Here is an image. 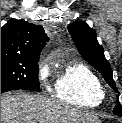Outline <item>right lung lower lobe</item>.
Here are the masks:
<instances>
[{"label": "right lung lower lobe", "instance_id": "obj_1", "mask_svg": "<svg viewBox=\"0 0 122 123\" xmlns=\"http://www.w3.org/2000/svg\"><path fill=\"white\" fill-rule=\"evenodd\" d=\"M11 90H17L16 88H10V87H1V93L11 91Z\"/></svg>", "mask_w": 122, "mask_h": 123}]
</instances>
